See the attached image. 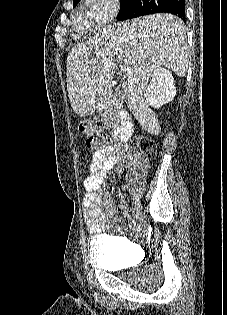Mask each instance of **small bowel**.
<instances>
[{"label":"small bowel","mask_w":227,"mask_h":315,"mask_svg":"<svg viewBox=\"0 0 227 315\" xmlns=\"http://www.w3.org/2000/svg\"><path fill=\"white\" fill-rule=\"evenodd\" d=\"M131 158L130 150L127 146H104L98 149L92 156L89 165V173L83 181V188L86 192L83 200L84 217L87 231L90 234H97L104 225L110 221L116 212L112 197L102 191V184L108 172L115 166L122 169L123 165ZM121 209L127 216L129 208L125 201H120ZM118 224L120 219H116ZM131 227L139 231L140 224L134 222Z\"/></svg>","instance_id":"c3829d8e"}]
</instances>
